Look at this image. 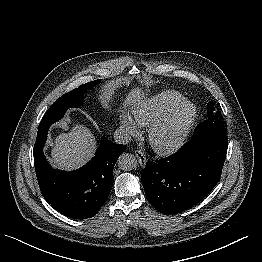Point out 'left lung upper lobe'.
<instances>
[{
    "label": "left lung upper lobe",
    "mask_w": 262,
    "mask_h": 262,
    "mask_svg": "<svg viewBox=\"0 0 262 262\" xmlns=\"http://www.w3.org/2000/svg\"><path fill=\"white\" fill-rule=\"evenodd\" d=\"M207 110L208 119L197 125L193 136L198 137L211 133L226 135L221 112L214 108L212 102L208 103Z\"/></svg>",
    "instance_id": "left-lung-upper-lobe-1"
}]
</instances>
